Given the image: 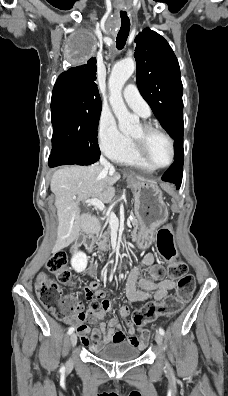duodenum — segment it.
I'll use <instances>...</instances> for the list:
<instances>
[{
	"label": "duodenum",
	"mask_w": 228,
	"mask_h": 396,
	"mask_svg": "<svg viewBox=\"0 0 228 396\" xmlns=\"http://www.w3.org/2000/svg\"><path fill=\"white\" fill-rule=\"evenodd\" d=\"M84 245L87 249L89 250H94L96 249V240L93 235H88L84 239Z\"/></svg>",
	"instance_id": "obj_1"
}]
</instances>
